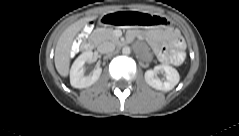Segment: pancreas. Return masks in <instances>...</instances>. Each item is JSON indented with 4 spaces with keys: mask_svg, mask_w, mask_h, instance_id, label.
I'll use <instances>...</instances> for the list:
<instances>
[{
    "mask_svg": "<svg viewBox=\"0 0 239 136\" xmlns=\"http://www.w3.org/2000/svg\"><path fill=\"white\" fill-rule=\"evenodd\" d=\"M92 37L96 39V42L112 41L119 43V38L114 35L113 29L110 28H98L92 33Z\"/></svg>",
    "mask_w": 239,
    "mask_h": 136,
    "instance_id": "pancreas-1",
    "label": "pancreas"
}]
</instances>
